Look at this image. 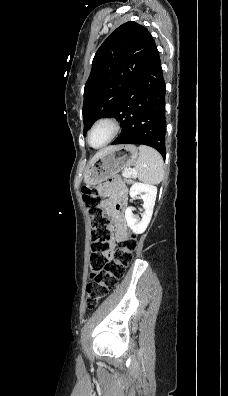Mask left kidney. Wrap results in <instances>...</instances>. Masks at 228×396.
<instances>
[{
    "label": "left kidney",
    "mask_w": 228,
    "mask_h": 396,
    "mask_svg": "<svg viewBox=\"0 0 228 396\" xmlns=\"http://www.w3.org/2000/svg\"><path fill=\"white\" fill-rule=\"evenodd\" d=\"M137 195H140L143 200L144 213L142 218L140 219L135 216L132 212V207H128L125 211V219L134 233L141 234L146 230L151 220L157 195V187L139 182L134 183L130 188V196L131 198H135Z\"/></svg>",
    "instance_id": "1"
}]
</instances>
